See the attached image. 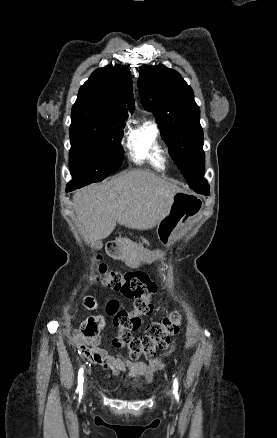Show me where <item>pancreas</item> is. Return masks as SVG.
<instances>
[{"instance_id": "obj_1", "label": "pancreas", "mask_w": 277, "mask_h": 438, "mask_svg": "<svg viewBox=\"0 0 277 438\" xmlns=\"http://www.w3.org/2000/svg\"><path fill=\"white\" fill-rule=\"evenodd\" d=\"M122 238L118 237L117 239H108L106 240L105 244H117L119 249L122 251L124 248L122 245H124L125 248H128L130 253H140L142 250V247L140 244H137L135 239H125L124 242H122ZM139 241L142 244H145L148 241V238L145 235H142L139 238Z\"/></svg>"}]
</instances>
